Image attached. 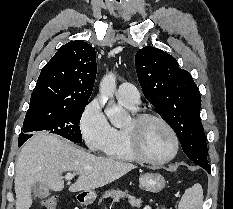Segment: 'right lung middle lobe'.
Masks as SVG:
<instances>
[{
    "label": "right lung middle lobe",
    "mask_w": 233,
    "mask_h": 209,
    "mask_svg": "<svg viewBox=\"0 0 233 209\" xmlns=\"http://www.w3.org/2000/svg\"><path fill=\"white\" fill-rule=\"evenodd\" d=\"M87 103L71 107H29L23 123V132L19 135L20 146L32 135V131L51 130L70 141L81 143L79 127L82 112Z\"/></svg>",
    "instance_id": "dd1d6c3e"
}]
</instances>
